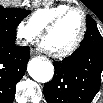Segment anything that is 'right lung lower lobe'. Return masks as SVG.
<instances>
[{
  "label": "right lung lower lobe",
  "instance_id": "right-lung-lower-lobe-1",
  "mask_svg": "<svg viewBox=\"0 0 103 103\" xmlns=\"http://www.w3.org/2000/svg\"><path fill=\"white\" fill-rule=\"evenodd\" d=\"M15 40L0 36V103L13 101L29 60V47L16 46Z\"/></svg>",
  "mask_w": 103,
  "mask_h": 103
}]
</instances>
